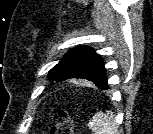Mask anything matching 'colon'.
Returning a JSON list of instances; mask_svg holds the SVG:
<instances>
[{
    "mask_svg": "<svg viewBox=\"0 0 153 134\" xmlns=\"http://www.w3.org/2000/svg\"><path fill=\"white\" fill-rule=\"evenodd\" d=\"M48 134H72V124L66 112L60 111V120L50 128Z\"/></svg>",
    "mask_w": 153,
    "mask_h": 134,
    "instance_id": "1",
    "label": "colon"
}]
</instances>
